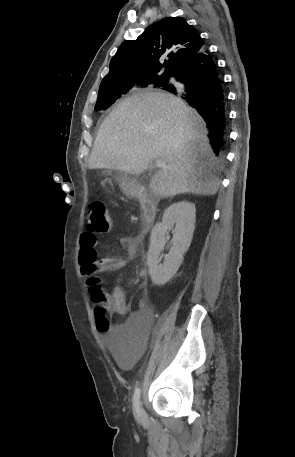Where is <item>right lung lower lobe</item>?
<instances>
[{
    "mask_svg": "<svg viewBox=\"0 0 295 457\" xmlns=\"http://www.w3.org/2000/svg\"><path fill=\"white\" fill-rule=\"evenodd\" d=\"M173 77L182 86L170 84L165 90L181 96L198 110L210 129V144L214 152L222 154L226 142L227 97L210 53L202 48L179 65Z\"/></svg>",
    "mask_w": 295,
    "mask_h": 457,
    "instance_id": "98d812e1",
    "label": "right lung lower lobe"
}]
</instances>
